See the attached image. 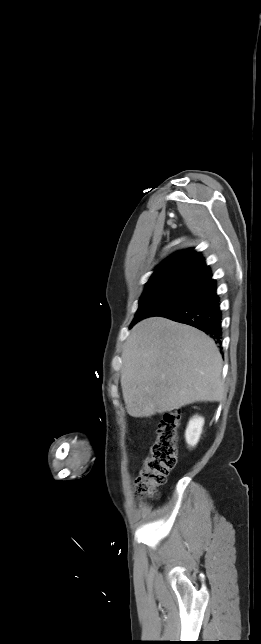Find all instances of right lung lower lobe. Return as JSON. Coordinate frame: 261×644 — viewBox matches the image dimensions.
Masks as SVG:
<instances>
[{
	"mask_svg": "<svg viewBox=\"0 0 261 644\" xmlns=\"http://www.w3.org/2000/svg\"><path fill=\"white\" fill-rule=\"evenodd\" d=\"M216 289V281L210 278L188 300L161 316L196 327L221 344L222 315Z\"/></svg>",
	"mask_w": 261,
	"mask_h": 644,
	"instance_id": "obj_1",
	"label": "right lung lower lobe"
}]
</instances>
